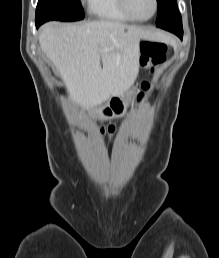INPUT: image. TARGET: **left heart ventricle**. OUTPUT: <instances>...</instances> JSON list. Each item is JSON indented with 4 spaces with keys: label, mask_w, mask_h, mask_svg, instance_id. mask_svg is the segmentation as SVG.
Here are the masks:
<instances>
[{
    "label": "left heart ventricle",
    "mask_w": 219,
    "mask_h": 258,
    "mask_svg": "<svg viewBox=\"0 0 219 258\" xmlns=\"http://www.w3.org/2000/svg\"><path fill=\"white\" fill-rule=\"evenodd\" d=\"M128 2L130 10L138 18H147L153 13V0H128Z\"/></svg>",
    "instance_id": "1"
}]
</instances>
